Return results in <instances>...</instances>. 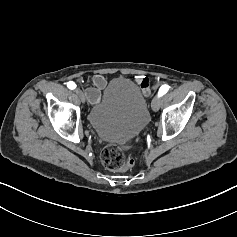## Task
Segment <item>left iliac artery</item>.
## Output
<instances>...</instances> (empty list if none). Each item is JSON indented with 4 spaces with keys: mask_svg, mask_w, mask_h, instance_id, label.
Returning <instances> with one entry per match:
<instances>
[{
    "mask_svg": "<svg viewBox=\"0 0 237 237\" xmlns=\"http://www.w3.org/2000/svg\"><path fill=\"white\" fill-rule=\"evenodd\" d=\"M169 86L168 85H162L159 89V92H158V96H163L164 94L167 93V91L169 90Z\"/></svg>",
    "mask_w": 237,
    "mask_h": 237,
    "instance_id": "obj_1",
    "label": "left iliac artery"
}]
</instances>
